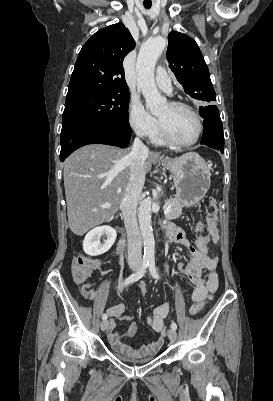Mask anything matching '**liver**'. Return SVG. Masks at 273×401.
Segmentation results:
<instances>
[{
	"instance_id": "6515ba94",
	"label": "liver",
	"mask_w": 273,
	"mask_h": 401,
	"mask_svg": "<svg viewBox=\"0 0 273 401\" xmlns=\"http://www.w3.org/2000/svg\"><path fill=\"white\" fill-rule=\"evenodd\" d=\"M129 148L107 144H86L64 162V186L69 227L74 235H84L96 225L112 219L121 207L129 182L130 166L125 158ZM161 152H150L144 160L146 174L151 164L161 160ZM111 203L102 209L100 205Z\"/></svg>"
}]
</instances>
